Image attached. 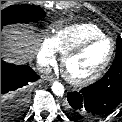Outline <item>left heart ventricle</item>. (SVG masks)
<instances>
[{"label":"left heart ventricle","mask_w":122,"mask_h":122,"mask_svg":"<svg viewBox=\"0 0 122 122\" xmlns=\"http://www.w3.org/2000/svg\"><path fill=\"white\" fill-rule=\"evenodd\" d=\"M110 50L111 43L108 40H102L91 45L68 62L67 72L74 78L89 76L104 63Z\"/></svg>","instance_id":"1"}]
</instances>
